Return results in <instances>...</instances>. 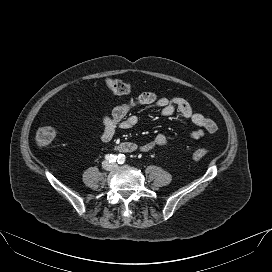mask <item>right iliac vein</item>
<instances>
[{"label":"right iliac vein","mask_w":272,"mask_h":272,"mask_svg":"<svg viewBox=\"0 0 272 272\" xmlns=\"http://www.w3.org/2000/svg\"><path fill=\"white\" fill-rule=\"evenodd\" d=\"M104 167L108 169V168H110V164L106 162V163L104 164Z\"/></svg>","instance_id":"right-iliac-vein-1"}]
</instances>
